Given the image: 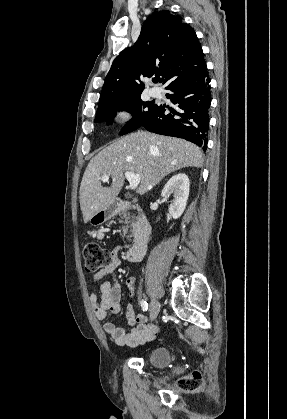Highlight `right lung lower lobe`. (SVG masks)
Listing matches in <instances>:
<instances>
[{
	"label": "right lung lower lobe",
	"mask_w": 287,
	"mask_h": 419,
	"mask_svg": "<svg viewBox=\"0 0 287 419\" xmlns=\"http://www.w3.org/2000/svg\"><path fill=\"white\" fill-rule=\"evenodd\" d=\"M166 89L171 91L166 97L176 105V108L157 106L140 127L157 134L186 139L206 151L211 104L208 71L174 83ZM167 109L170 113L166 112Z\"/></svg>",
	"instance_id": "right-lung-lower-lobe-1"
}]
</instances>
